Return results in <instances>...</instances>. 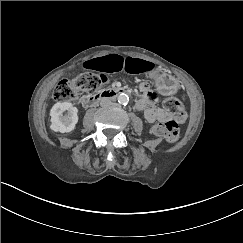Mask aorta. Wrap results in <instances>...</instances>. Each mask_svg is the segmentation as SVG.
Returning a JSON list of instances; mask_svg holds the SVG:
<instances>
[{"instance_id":"obj_1","label":"aorta","mask_w":243,"mask_h":243,"mask_svg":"<svg viewBox=\"0 0 243 243\" xmlns=\"http://www.w3.org/2000/svg\"><path fill=\"white\" fill-rule=\"evenodd\" d=\"M117 100L120 104H126L129 100V97L125 93H121L118 95Z\"/></svg>"}]
</instances>
